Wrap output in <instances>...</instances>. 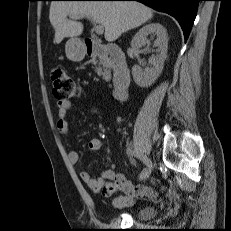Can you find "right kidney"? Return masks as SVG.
I'll return each instance as SVG.
<instances>
[{
  "label": "right kidney",
  "mask_w": 231,
  "mask_h": 231,
  "mask_svg": "<svg viewBox=\"0 0 231 231\" xmlns=\"http://www.w3.org/2000/svg\"><path fill=\"white\" fill-rule=\"evenodd\" d=\"M148 35H156V40L153 46L157 47V54L150 58V67L142 69L139 65H135L132 68L133 79L140 87H149L157 80L163 70L164 61L167 57V31L159 23L145 25L135 34L131 41V47L135 53H138L139 49L146 45L149 47L150 40L147 38Z\"/></svg>",
  "instance_id": "right-kidney-1"
}]
</instances>
